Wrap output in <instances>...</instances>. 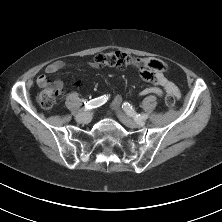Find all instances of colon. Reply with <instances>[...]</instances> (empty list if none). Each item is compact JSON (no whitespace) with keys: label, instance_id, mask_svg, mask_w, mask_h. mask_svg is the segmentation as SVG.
Masks as SVG:
<instances>
[{"label":"colon","instance_id":"colon-1","mask_svg":"<svg viewBox=\"0 0 222 222\" xmlns=\"http://www.w3.org/2000/svg\"><path fill=\"white\" fill-rule=\"evenodd\" d=\"M94 62L98 67H114L118 69L133 67L138 70L146 68L148 71L155 73L166 70L164 62L159 59L133 58L118 51L99 53L95 56ZM41 87L42 90L37 97L38 104L42 109L50 110L54 107L63 87L60 85V81L47 77L41 82ZM165 103L170 109L174 108L175 97L167 93Z\"/></svg>","mask_w":222,"mask_h":222}]
</instances>
